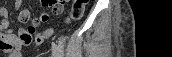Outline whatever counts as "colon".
Segmentation results:
<instances>
[{
  "label": "colon",
  "mask_w": 172,
  "mask_h": 57,
  "mask_svg": "<svg viewBox=\"0 0 172 57\" xmlns=\"http://www.w3.org/2000/svg\"><path fill=\"white\" fill-rule=\"evenodd\" d=\"M54 1H63V0H54ZM89 2V0H75L70 14L68 16V21H77L79 19H81V17L84 14L85 11V6L87 5V3Z\"/></svg>",
  "instance_id": "colon-1"
}]
</instances>
